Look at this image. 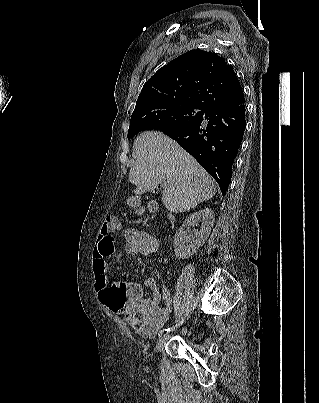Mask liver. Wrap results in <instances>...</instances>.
<instances>
[{"mask_svg":"<svg viewBox=\"0 0 319 403\" xmlns=\"http://www.w3.org/2000/svg\"><path fill=\"white\" fill-rule=\"evenodd\" d=\"M135 164L129 172L134 193L153 191L162 184L165 207L182 213L211 199L216 194L215 181L179 144L162 132L141 133L133 145Z\"/></svg>","mask_w":319,"mask_h":403,"instance_id":"liver-1","label":"liver"}]
</instances>
